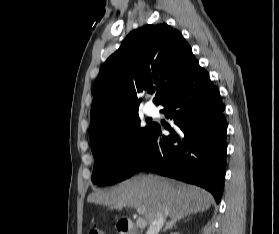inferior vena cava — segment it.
Here are the masks:
<instances>
[{
	"instance_id": "inferior-vena-cava-1",
	"label": "inferior vena cava",
	"mask_w": 279,
	"mask_h": 234,
	"mask_svg": "<svg viewBox=\"0 0 279 234\" xmlns=\"http://www.w3.org/2000/svg\"><path fill=\"white\" fill-rule=\"evenodd\" d=\"M167 215L163 213H158L156 219H154L146 232V234H158L160 232V229L165 223Z\"/></svg>"
}]
</instances>
